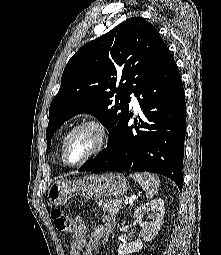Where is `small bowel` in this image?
Instances as JSON below:
<instances>
[{
	"label": "small bowel",
	"mask_w": 221,
	"mask_h": 255,
	"mask_svg": "<svg viewBox=\"0 0 221 255\" xmlns=\"http://www.w3.org/2000/svg\"><path fill=\"white\" fill-rule=\"evenodd\" d=\"M115 225V220L111 215H104L101 223L97 225L86 238L85 232L72 234V241L69 247V255H93L101 239H107Z\"/></svg>",
	"instance_id": "c3829d8e"
}]
</instances>
